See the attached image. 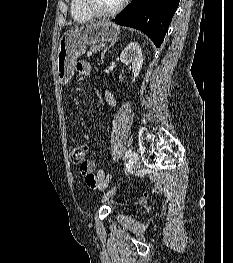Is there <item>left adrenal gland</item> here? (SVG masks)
Here are the masks:
<instances>
[{
    "label": "left adrenal gland",
    "instance_id": "a2214340",
    "mask_svg": "<svg viewBox=\"0 0 233 263\" xmlns=\"http://www.w3.org/2000/svg\"><path fill=\"white\" fill-rule=\"evenodd\" d=\"M117 41H118V38L115 39V40H113V41H111L110 45L104 49V51H103L102 54H101V63H103L104 55H105V53L107 52V50H108L110 47H112Z\"/></svg>",
    "mask_w": 233,
    "mask_h": 263
}]
</instances>
